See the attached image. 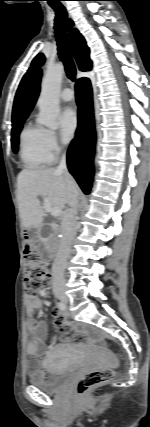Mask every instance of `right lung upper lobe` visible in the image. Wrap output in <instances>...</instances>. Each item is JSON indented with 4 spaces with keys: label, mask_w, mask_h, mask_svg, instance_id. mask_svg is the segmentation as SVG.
Listing matches in <instances>:
<instances>
[{
    "label": "right lung upper lobe",
    "mask_w": 150,
    "mask_h": 427,
    "mask_svg": "<svg viewBox=\"0 0 150 427\" xmlns=\"http://www.w3.org/2000/svg\"><path fill=\"white\" fill-rule=\"evenodd\" d=\"M69 44L79 69L82 71L90 70L89 48L83 36L75 28L69 33ZM40 79L41 70L32 67L24 75L15 96L12 123L25 120L29 115L39 95Z\"/></svg>",
    "instance_id": "1"
}]
</instances>
